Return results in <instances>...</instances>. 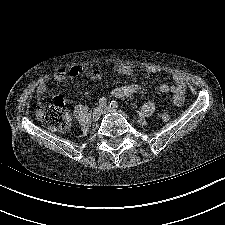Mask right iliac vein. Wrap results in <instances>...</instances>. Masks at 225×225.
Returning <instances> with one entry per match:
<instances>
[{
  "instance_id": "63e3f726",
  "label": "right iliac vein",
  "mask_w": 225,
  "mask_h": 225,
  "mask_svg": "<svg viewBox=\"0 0 225 225\" xmlns=\"http://www.w3.org/2000/svg\"><path fill=\"white\" fill-rule=\"evenodd\" d=\"M102 112L103 111H102V107L101 106H98V107L94 108L93 112H92V120L93 121H97L100 118Z\"/></svg>"
}]
</instances>
